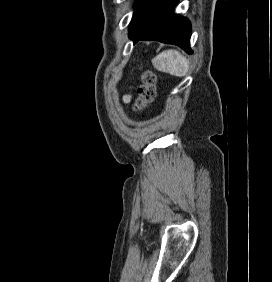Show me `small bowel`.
I'll return each mask as SVG.
<instances>
[{
    "instance_id": "1",
    "label": "small bowel",
    "mask_w": 272,
    "mask_h": 282,
    "mask_svg": "<svg viewBox=\"0 0 272 282\" xmlns=\"http://www.w3.org/2000/svg\"><path fill=\"white\" fill-rule=\"evenodd\" d=\"M131 98H132L131 93H127V94L124 95L123 101H124L125 103H129V102L131 101Z\"/></svg>"
}]
</instances>
